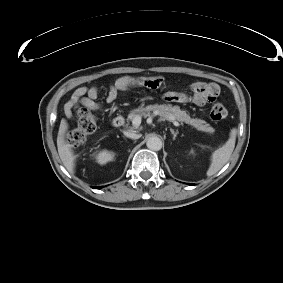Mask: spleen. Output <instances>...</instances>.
Here are the masks:
<instances>
[{
	"label": "spleen",
	"instance_id": "3e777b00",
	"mask_svg": "<svg viewBox=\"0 0 283 283\" xmlns=\"http://www.w3.org/2000/svg\"><path fill=\"white\" fill-rule=\"evenodd\" d=\"M236 135L237 130L234 128L231 130L227 142L212 153L211 164L206 173L207 176L214 175L227 163L235 147Z\"/></svg>",
	"mask_w": 283,
	"mask_h": 283
}]
</instances>
